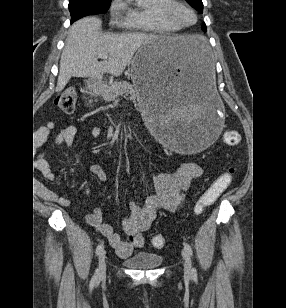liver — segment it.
<instances>
[{
  "instance_id": "liver-1",
  "label": "liver",
  "mask_w": 286,
  "mask_h": 308,
  "mask_svg": "<svg viewBox=\"0 0 286 308\" xmlns=\"http://www.w3.org/2000/svg\"><path fill=\"white\" fill-rule=\"evenodd\" d=\"M102 22L96 17L76 21L69 29L60 59L56 92L64 89L71 77L101 80L104 73L120 76L135 52L144 44L164 36L138 32L100 33ZM177 55L198 61L205 56V38L200 35L166 37ZM108 58L98 61L99 54Z\"/></svg>"
}]
</instances>
